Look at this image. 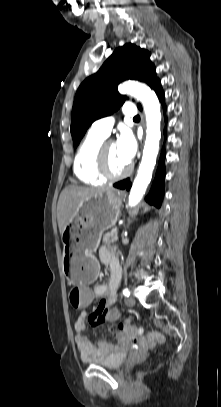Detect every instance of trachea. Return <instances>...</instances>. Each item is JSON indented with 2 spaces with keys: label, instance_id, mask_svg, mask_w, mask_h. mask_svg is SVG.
Instances as JSON below:
<instances>
[{
  "label": "trachea",
  "instance_id": "3493384b",
  "mask_svg": "<svg viewBox=\"0 0 221 407\" xmlns=\"http://www.w3.org/2000/svg\"><path fill=\"white\" fill-rule=\"evenodd\" d=\"M133 119H134V120H140V116L137 115V116H135Z\"/></svg>",
  "mask_w": 221,
  "mask_h": 407
}]
</instances>
